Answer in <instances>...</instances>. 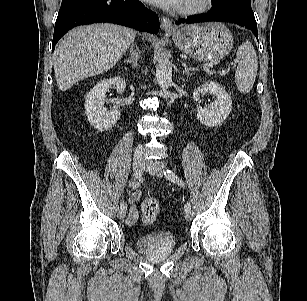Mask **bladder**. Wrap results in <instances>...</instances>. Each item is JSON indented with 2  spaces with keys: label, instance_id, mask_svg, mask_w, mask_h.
<instances>
[{
  "label": "bladder",
  "instance_id": "bladder-1",
  "mask_svg": "<svg viewBox=\"0 0 307 301\" xmlns=\"http://www.w3.org/2000/svg\"><path fill=\"white\" fill-rule=\"evenodd\" d=\"M136 245L150 259H160L173 252L175 240L167 232H156L139 237Z\"/></svg>",
  "mask_w": 307,
  "mask_h": 301
}]
</instances>
